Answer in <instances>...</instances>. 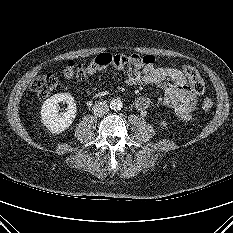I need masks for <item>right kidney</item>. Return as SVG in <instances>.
Masks as SVG:
<instances>
[{
  "mask_svg": "<svg viewBox=\"0 0 233 233\" xmlns=\"http://www.w3.org/2000/svg\"><path fill=\"white\" fill-rule=\"evenodd\" d=\"M62 101L68 104L65 113H59V103ZM76 112L77 108L74 98L70 94L59 93L43 103L41 118L48 130L59 134L71 126L76 117Z\"/></svg>",
  "mask_w": 233,
  "mask_h": 233,
  "instance_id": "1",
  "label": "right kidney"
}]
</instances>
